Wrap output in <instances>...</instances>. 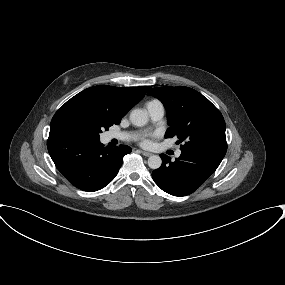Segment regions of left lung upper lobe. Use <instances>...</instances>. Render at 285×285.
<instances>
[{"mask_svg": "<svg viewBox=\"0 0 285 285\" xmlns=\"http://www.w3.org/2000/svg\"><path fill=\"white\" fill-rule=\"evenodd\" d=\"M148 95L165 106L170 126L165 137H178L181 151L224 157L227 151L225 121L220 111L201 93L188 87H156Z\"/></svg>", "mask_w": 285, "mask_h": 285, "instance_id": "left-lung-upper-lobe-1", "label": "left lung upper lobe"}]
</instances>
